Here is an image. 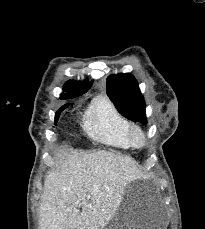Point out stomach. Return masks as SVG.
<instances>
[{"instance_id": "stomach-1", "label": "stomach", "mask_w": 205, "mask_h": 229, "mask_svg": "<svg viewBox=\"0 0 205 229\" xmlns=\"http://www.w3.org/2000/svg\"><path fill=\"white\" fill-rule=\"evenodd\" d=\"M168 222L160 199L126 192L117 212L100 229H166Z\"/></svg>"}]
</instances>
